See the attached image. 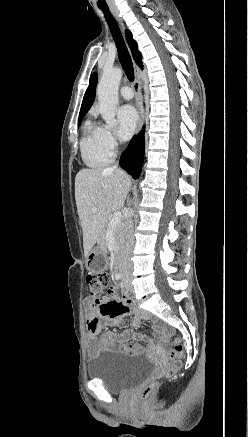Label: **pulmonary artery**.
Masks as SVG:
<instances>
[{
  "label": "pulmonary artery",
  "mask_w": 248,
  "mask_h": 437,
  "mask_svg": "<svg viewBox=\"0 0 248 437\" xmlns=\"http://www.w3.org/2000/svg\"><path fill=\"white\" fill-rule=\"evenodd\" d=\"M120 95L126 100H130L134 96L133 91L129 86H123L120 89Z\"/></svg>",
  "instance_id": "obj_1"
}]
</instances>
